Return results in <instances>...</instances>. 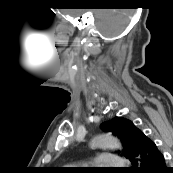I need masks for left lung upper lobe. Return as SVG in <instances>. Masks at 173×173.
Listing matches in <instances>:
<instances>
[{"label": "left lung upper lobe", "mask_w": 173, "mask_h": 173, "mask_svg": "<svg viewBox=\"0 0 173 173\" xmlns=\"http://www.w3.org/2000/svg\"><path fill=\"white\" fill-rule=\"evenodd\" d=\"M101 128L120 139L123 145V156L127 157L132 152L137 143L138 132H140L132 121L123 117H115L104 122Z\"/></svg>", "instance_id": "5c2ea615"}]
</instances>
